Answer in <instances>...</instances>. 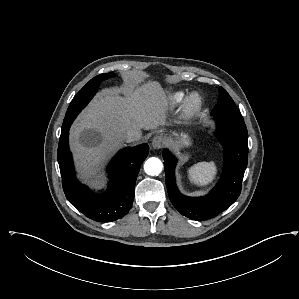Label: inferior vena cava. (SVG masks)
Wrapping results in <instances>:
<instances>
[{
	"label": "inferior vena cava",
	"mask_w": 299,
	"mask_h": 299,
	"mask_svg": "<svg viewBox=\"0 0 299 299\" xmlns=\"http://www.w3.org/2000/svg\"><path fill=\"white\" fill-rule=\"evenodd\" d=\"M142 137V133L140 130L131 129L127 132L125 140L126 142H134L139 140Z\"/></svg>",
	"instance_id": "obj_1"
}]
</instances>
